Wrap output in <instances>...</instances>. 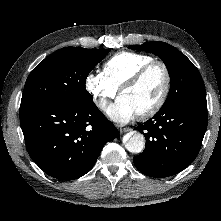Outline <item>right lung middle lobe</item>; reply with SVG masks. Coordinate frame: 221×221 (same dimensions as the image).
Here are the masks:
<instances>
[{
  "instance_id": "right-lung-middle-lobe-1",
  "label": "right lung middle lobe",
  "mask_w": 221,
  "mask_h": 221,
  "mask_svg": "<svg viewBox=\"0 0 221 221\" xmlns=\"http://www.w3.org/2000/svg\"><path fill=\"white\" fill-rule=\"evenodd\" d=\"M110 49L79 47L59 49L44 59L28 76L21 103H84L92 101L85 89L90 71Z\"/></svg>"
}]
</instances>
